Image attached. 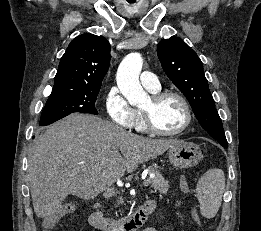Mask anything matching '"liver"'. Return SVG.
Listing matches in <instances>:
<instances>
[{
    "mask_svg": "<svg viewBox=\"0 0 261 231\" xmlns=\"http://www.w3.org/2000/svg\"><path fill=\"white\" fill-rule=\"evenodd\" d=\"M179 142L144 138L93 115L71 114L48 126L28 156L34 211L47 218L70 194L94 198Z\"/></svg>",
    "mask_w": 261,
    "mask_h": 231,
    "instance_id": "1",
    "label": "liver"
}]
</instances>
